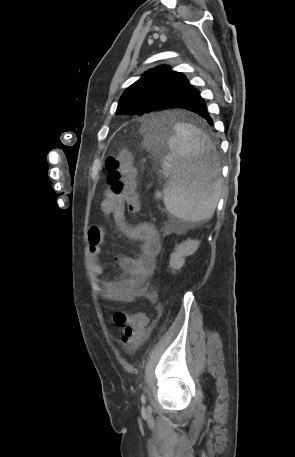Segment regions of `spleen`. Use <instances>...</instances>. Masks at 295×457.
Masks as SVG:
<instances>
[{
	"label": "spleen",
	"mask_w": 295,
	"mask_h": 457,
	"mask_svg": "<svg viewBox=\"0 0 295 457\" xmlns=\"http://www.w3.org/2000/svg\"><path fill=\"white\" fill-rule=\"evenodd\" d=\"M174 129L170 152L162 161L163 175L168 178L163 189L165 207L184 221L208 220L214 214L222 188L216 173L217 159L209 164L203 158L212 147L211 140L189 124L177 123Z\"/></svg>",
	"instance_id": "spleen-1"
}]
</instances>
